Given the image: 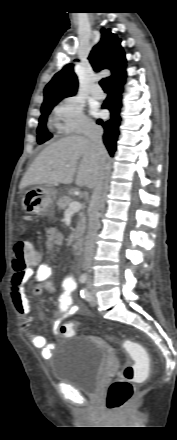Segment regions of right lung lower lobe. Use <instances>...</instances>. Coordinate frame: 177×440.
<instances>
[{"instance_id": "98d812e1", "label": "right lung lower lobe", "mask_w": 177, "mask_h": 440, "mask_svg": "<svg viewBox=\"0 0 177 440\" xmlns=\"http://www.w3.org/2000/svg\"><path fill=\"white\" fill-rule=\"evenodd\" d=\"M126 71L125 68L119 72L115 77L108 81L110 86V93L106 100L104 101L102 108L108 109L110 111V120L102 121L99 119L97 124L104 128L103 141L107 147L109 154L114 155L116 150V142L119 135V125L121 121L120 109L122 106V96L123 85L125 83Z\"/></svg>"}]
</instances>
